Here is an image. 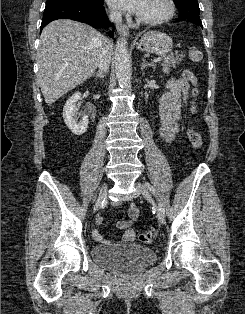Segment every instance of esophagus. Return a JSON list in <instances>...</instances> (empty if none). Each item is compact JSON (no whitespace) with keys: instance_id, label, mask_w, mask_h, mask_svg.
I'll return each instance as SVG.
<instances>
[{"instance_id":"1","label":"esophagus","mask_w":245,"mask_h":314,"mask_svg":"<svg viewBox=\"0 0 245 314\" xmlns=\"http://www.w3.org/2000/svg\"><path fill=\"white\" fill-rule=\"evenodd\" d=\"M116 29L119 33L123 34L124 36H129V29L126 25L118 23L116 24Z\"/></svg>"}]
</instances>
